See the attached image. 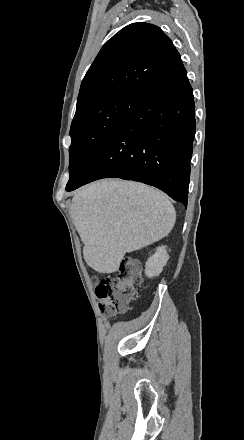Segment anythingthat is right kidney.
Here are the masks:
<instances>
[{"label": "right kidney", "instance_id": "right-kidney-1", "mask_svg": "<svg viewBox=\"0 0 244 440\" xmlns=\"http://www.w3.org/2000/svg\"><path fill=\"white\" fill-rule=\"evenodd\" d=\"M169 260V256L166 252V246H161L157 248L155 254L149 258L145 266V274L147 278H152V276H159L161 274L164 266H166Z\"/></svg>", "mask_w": 244, "mask_h": 440}]
</instances>
